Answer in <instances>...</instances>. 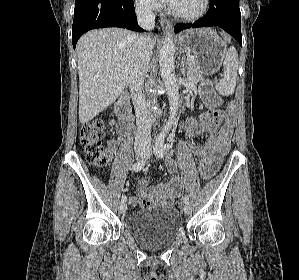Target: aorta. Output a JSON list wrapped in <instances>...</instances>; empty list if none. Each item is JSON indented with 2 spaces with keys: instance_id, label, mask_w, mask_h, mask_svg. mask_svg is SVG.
<instances>
[{
  "instance_id": "aorta-1",
  "label": "aorta",
  "mask_w": 299,
  "mask_h": 280,
  "mask_svg": "<svg viewBox=\"0 0 299 280\" xmlns=\"http://www.w3.org/2000/svg\"><path fill=\"white\" fill-rule=\"evenodd\" d=\"M175 47L171 34H167L165 39L162 42L160 50V73L165 84L167 94L169 97L170 105V117L166 126L163 128V132L159 135V139H163L166 133L169 131L173 124V119L175 118L178 107H179V88L177 80L175 77Z\"/></svg>"
}]
</instances>
